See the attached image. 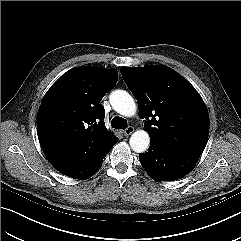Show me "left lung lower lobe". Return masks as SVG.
<instances>
[{"instance_id": "left-lung-lower-lobe-1", "label": "left lung lower lobe", "mask_w": 241, "mask_h": 241, "mask_svg": "<svg viewBox=\"0 0 241 241\" xmlns=\"http://www.w3.org/2000/svg\"><path fill=\"white\" fill-rule=\"evenodd\" d=\"M199 156L181 153L150 142L148 151L139 154V160L155 180L173 181L192 170Z\"/></svg>"}]
</instances>
